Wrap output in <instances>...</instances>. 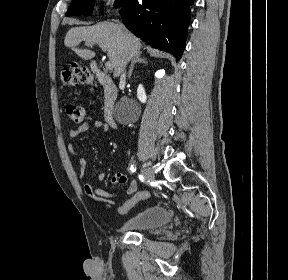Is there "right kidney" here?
Instances as JSON below:
<instances>
[{
	"instance_id": "1",
	"label": "right kidney",
	"mask_w": 288,
	"mask_h": 280,
	"mask_svg": "<svg viewBox=\"0 0 288 280\" xmlns=\"http://www.w3.org/2000/svg\"><path fill=\"white\" fill-rule=\"evenodd\" d=\"M137 97L141 103H146L147 96L142 85H139L137 88Z\"/></svg>"
}]
</instances>
